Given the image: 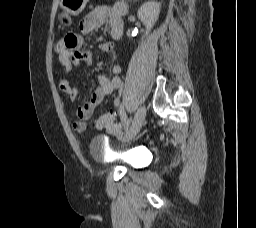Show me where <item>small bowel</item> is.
<instances>
[{
    "mask_svg": "<svg viewBox=\"0 0 256 228\" xmlns=\"http://www.w3.org/2000/svg\"><path fill=\"white\" fill-rule=\"evenodd\" d=\"M126 4L122 1H116L111 5H98L82 20L80 25L81 34L69 33L62 39V47L59 50V61L68 74L73 68L80 64L90 65L92 63V55L89 51L83 50L84 36L92 33L102 25L109 23L114 37L117 29L122 30V16L126 13ZM99 48L112 55L113 64L111 67L112 76L100 75L98 77L99 85L93 92L90 100L78 106L76 114L78 119L73 123V127L77 132H84L87 129L88 121L106 96H109L122 87L120 77L122 68L115 61L116 54L114 44L111 41H105L99 45ZM60 90L66 94L71 101L79 96V89L73 86L69 80L64 77L59 83ZM112 134L121 132V126L112 123L107 127Z\"/></svg>",
    "mask_w": 256,
    "mask_h": 228,
    "instance_id": "small-bowel-1",
    "label": "small bowel"
}]
</instances>
